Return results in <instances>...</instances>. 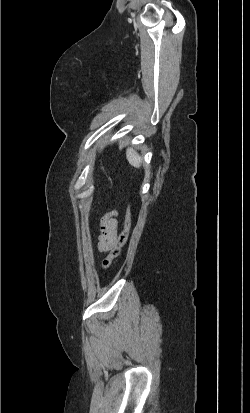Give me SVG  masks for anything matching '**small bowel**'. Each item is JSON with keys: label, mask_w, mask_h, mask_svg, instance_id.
Segmentation results:
<instances>
[{"label": "small bowel", "mask_w": 250, "mask_h": 413, "mask_svg": "<svg viewBox=\"0 0 250 413\" xmlns=\"http://www.w3.org/2000/svg\"><path fill=\"white\" fill-rule=\"evenodd\" d=\"M118 222L112 216H105L100 221V233L97 241V249L102 254H109L116 244Z\"/></svg>", "instance_id": "obj_1"}]
</instances>
